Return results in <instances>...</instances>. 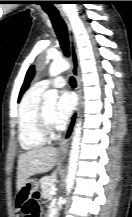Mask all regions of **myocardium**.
<instances>
[{"label": "myocardium", "instance_id": "myocardium-1", "mask_svg": "<svg viewBox=\"0 0 132 217\" xmlns=\"http://www.w3.org/2000/svg\"><path fill=\"white\" fill-rule=\"evenodd\" d=\"M38 127H39L41 134L45 138H48L52 135L53 123H52V120H50L46 115L44 103H42L40 108H39Z\"/></svg>", "mask_w": 132, "mask_h": 217}]
</instances>
